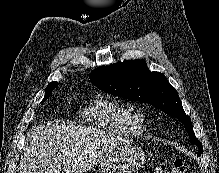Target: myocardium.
<instances>
[{
    "mask_svg": "<svg viewBox=\"0 0 219 173\" xmlns=\"http://www.w3.org/2000/svg\"><path fill=\"white\" fill-rule=\"evenodd\" d=\"M131 114L135 124L138 126H143L146 120L145 112L142 109H135Z\"/></svg>",
    "mask_w": 219,
    "mask_h": 173,
    "instance_id": "f54148a6",
    "label": "myocardium"
}]
</instances>
